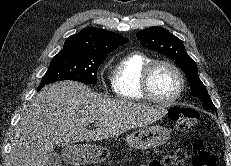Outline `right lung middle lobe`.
I'll return each mask as SVG.
<instances>
[{
  "label": "right lung middle lobe",
  "instance_id": "1",
  "mask_svg": "<svg viewBox=\"0 0 231 166\" xmlns=\"http://www.w3.org/2000/svg\"><path fill=\"white\" fill-rule=\"evenodd\" d=\"M107 56H90L72 51H60L51 61L41 84L73 80L97 83V70Z\"/></svg>",
  "mask_w": 231,
  "mask_h": 166
}]
</instances>
